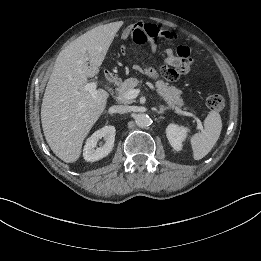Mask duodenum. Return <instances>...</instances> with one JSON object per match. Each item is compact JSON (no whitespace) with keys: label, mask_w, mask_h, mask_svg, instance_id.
<instances>
[{"label":"duodenum","mask_w":261,"mask_h":261,"mask_svg":"<svg viewBox=\"0 0 261 261\" xmlns=\"http://www.w3.org/2000/svg\"><path fill=\"white\" fill-rule=\"evenodd\" d=\"M105 77H106V80L112 84H116L118 82V77L111 72H107L105 74Z\"/></svg>","instance_id":"1"}]
</instances>
